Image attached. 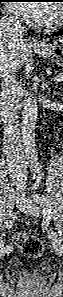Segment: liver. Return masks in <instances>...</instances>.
<instances>
[{
	"mask_svg": "<svg viewBox=\"0 0 63 297\" xmlns=\"http://www.w3.org/2000/svg\"><path fill=\"white\" fill-rule=\"evenodd\" d=\"M30 53L29 46L24 39L16 43L10 37L0 34V75L1 69L15 73L24 65Z\"/></svg>",
	"mask_w": 63,
	"mask_h": 297,
	"instance_id": "6515ba94",
	"label": "liver"
}]
</instances>
